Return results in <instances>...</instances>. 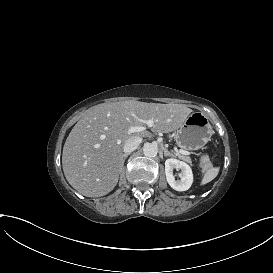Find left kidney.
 <instances>
[{
	"label": "left kidney",
	"instance_id": "obj_1",
	"mask_svg": "<svg viewBox=\"0 0 273 273\" xmlns=\"http://www.w3.org/2000/svg\"><path fill=\"white\" fill-rule=\"evenodd\" d=\"M181 170L180 180H175L173 176V170ZM165 173L168 184L176 191H186L193 183V173L190 166L177 159H167L165 161Z\"/></svg>",
	"mask_w": 273,
	"mask_h": 273
}]
</instances>
